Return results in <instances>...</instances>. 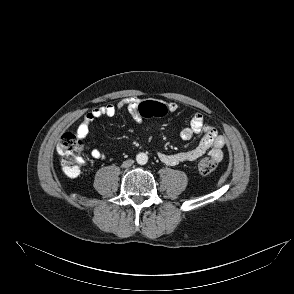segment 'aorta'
Listing matches in <instances>:
<instances>
[{"mask_svg":"<svg viewBox=\"0 0 294 294\" xmlns=\"http://www.w3.org/2000/svg\"><path fill=\"white\" fill-rule=\"evenodd\" d=\"M136 161L140 165H145L148 162V156L146 153L140 152L136 155Z\"/></svg>","mask_w":294,"mask_h":294,"instance_id":"1","label":"aorta"}]
</instances>
